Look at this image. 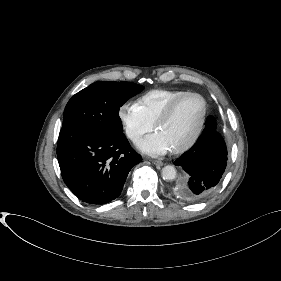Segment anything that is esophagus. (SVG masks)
<instances>
[{
    "label": "esophagus",
    "mask_w": 281,
    "mask_h": 281,
    "mask_svg": "<svg viewBox=\"0 0 281 281\" xmlns=\"http://www.w3.org/2000/svg\"><path fill=\"white\" fill-rule=\"evenodd\" d=\"M152 163L156 166H162L164 163L160 160H153Z\"/></svg>",
    "instance_id": "esophagus-1"
}]
</instances>
